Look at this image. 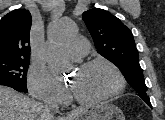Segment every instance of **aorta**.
Instances as JSON below:
<instances>
[{"label": "aorta", "mask_w": 165, "mask_h": 120, "mask_svg": "<svg viewBox=\"0 0 165 120\" xmlns=\"http://www.w3.org/2000/svg\"><path fill=\"white\" fill-rule=\"evenodd\" d=\"M75 31L76 26L71 20H57L50 25L48 36V58L52 69L55 71H62L66 68V63L57 57L55 49L67 38L74 35Z\"/></svg>", "instance_id": "1"}]
</instances>
